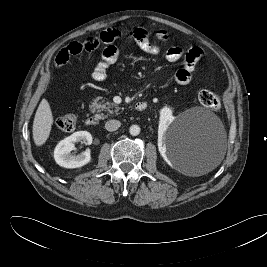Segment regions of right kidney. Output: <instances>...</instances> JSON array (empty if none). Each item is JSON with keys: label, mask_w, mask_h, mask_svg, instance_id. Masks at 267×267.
<instances>
[{"label": "right kidney", "mask_w": 267, "mask_h": 267, "mask_svg": "<svg viewBox=\"0 0 267 267\" xmlns=\"http://www.w3.org/2000/svg\"><path fill=\"white\" fill-rule=\"evenodd\" d=\"M76 142L90 145L92 143V136L87 131H77L61 140L54 150V159L59 166L64 168H79L90 162L91 155L89 150L79 155L70 154L75 149Z\"/></svg>", "instance_id": "ca27d5eb"}]
</instances>
